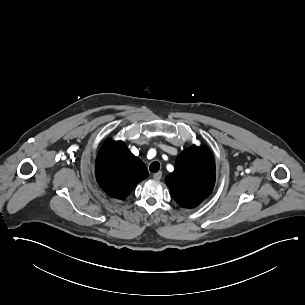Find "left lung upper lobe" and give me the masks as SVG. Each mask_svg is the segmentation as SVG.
<instances>
[{"mask_svg": "<svg viewBox=\"0 0 305 305\" xmlns=\"http://www.w3.org/2000/svg\"><path fill=\"white\" fill-rule=\"evenodd\" d=\"M166 184L173 199L185 208L201 204L215 184V163L207 147L192 146L184 150L175 161V170Z\"/></svg>", "mask_w": 305, "mask_h": 305, "instance_id": "obj_1", "label": "left lung upper lobe"}]
</instances>
